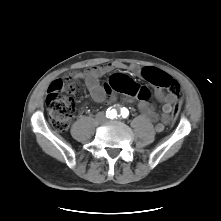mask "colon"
Listing matches in <instances>:
<instances>
[{
  "instance_id": "5ec220e1",
  "label": "colon",
  "mask_w": 221,
  "mask_h": 221,
  "mask_svg": "<svg viewBox=\"0 0 221 221\" xmlns=\"http://www.w3.org/2000/svg\"><path fill=\"white\" fill-rule=\"evenodd\" d=\"M143 77L152 84L166 88L176 97L181 96V87L169 74L154 68H145L142 71ZM80 88L69 79H57L48 89L46 98L47 112L53 127L58 131H64L68 128L76 106V96ZM125 91L130 96L141 100H147L150 97V90L147 86L137 83H131ZM180 112V104L176 103L172 114L177 117Z\"/></svg>"
}]
</instances>
